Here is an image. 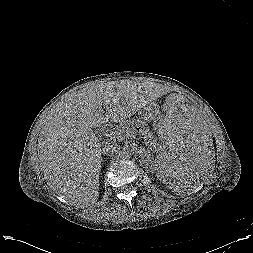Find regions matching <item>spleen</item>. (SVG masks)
<instances>
[{
  "instance_id": "spleen-1",
  "label": "spleen",
  "mask_w": 253,
  "mask_h": 253,
  "mask_svg": "<svg viewBox=\"0 0 253 253\" xmlns=\"http://www.w3.org/2000/svg\"><path fill=\"white\" fill-rule=\"evenodd\" d=\"M151 146L153 175L169 190L184 195L208 181L212 145L203 114L195 104H174L157 124Z\"/></svg>"
}]
</instances>
